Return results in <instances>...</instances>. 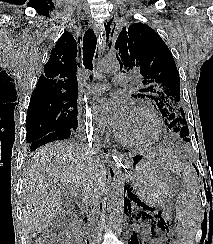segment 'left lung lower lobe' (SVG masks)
Returning a JSON list of instances; mask_svg holds the SVG:
<instances>
[{
	"instance_id": "1",
	"label": "left lung lower lobe",
	"mask_w": 213,
	"mask_h": 244,
	"mask_svg": "<svg viewBox=\"0 0 213 244\" xmlns=\"http://www.w3.org/2000/svg\"><path fill=\"white\" fill-rule=\"evenodd\" d=\"M193 166L195 167V165L193 164ZM196 168V167H195ZM124 192H125V190H124ZM124 197H125V194H124Z\"/></svg>"
}]
</instances>
